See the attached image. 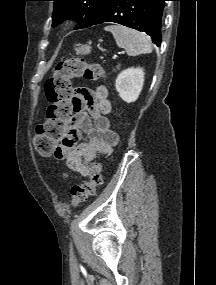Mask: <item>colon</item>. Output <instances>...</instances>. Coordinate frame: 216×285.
<instances>
[{"mask_svg":"<svg viewBox=\"0 0 216 285\" xmlns=\"http://www.w3.org/2000/svg\"><path fill=\"white\" fill-rule=\"evenodd\" d=\"M102 77H105V71L100 65L87 63L82 58L67 59L56 65L53 75L45 83V93L50 103L47 120L37 127L34 137L35 148L42 156L56 152L74 114L76 103L72 79L97 80ZM87 165L90 169L88 180L71 188L73 206L93 196L103 182L101 165L93 161Z\"/></svg>","mask_w":216,"mask_h":285,"instance_id":"obj_1","label":"colon"}]
</instances>
